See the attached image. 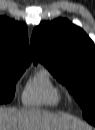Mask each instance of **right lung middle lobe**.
<instances>
[{"label": "right lung middle lobe", "instance_id": "right-lung-middle-lobe-1", "mask_svg": "<svg viewBox=\"0 0 95 130\" xmlns=\"http://www.w3.org/2000/svg\"><path fill=\"white\" fill-rule=\"evenodd\" d=\"M25 68H0V103H8L14 97L15 83Z\"/></svg>", "mask_w": 95, "mask_h": 130}]
</instances>
